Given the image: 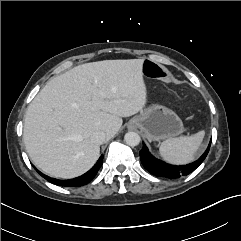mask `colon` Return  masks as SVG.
<instances>
[{"label":"colon","instance_id":"colon-1","mask_svg":"<svg viewBox=\"0 0 241 241\" xmlns=\"http://www.w3.org/2000/svg\"><path fill=\"white\" fill-rule=\"evenodd\" d=\"M137 72L144 75L145 79L152 81L157 80L163 83L170 81L172 77L171 70L164 64L156 62L151 58L142 59L137 65Z\"/></svg>","mask_w":241,"mask_h":241}]
</instances>
